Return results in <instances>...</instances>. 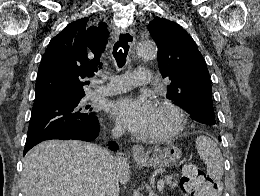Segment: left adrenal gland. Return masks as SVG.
Masks as SVG:
<instances>
[{"label": "left adrenal gland", "instance_id": "1", "mask_svg": "<svg viewBox=\"0 0 260 196\" xmlns=\"http://www.w3.org/2000/svg\"><path fill=\"white\" fill-rule=\"evenodd\" d=\"M148 196H157V194H155L154 190H152L151 186H149V188H148Z\"/></svg>", "mask_w": 260, "mask_h": 196}]
</instances>
